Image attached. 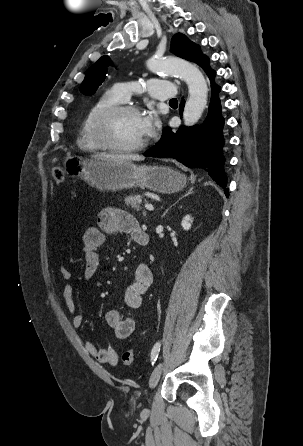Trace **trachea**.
<instances>
[{"mask_svg":"<svg viewBox=\"0 0 303 446\" xmlns=\"http://www.w3.org/2000/svg\"><path fill=\"white\" fill-rule=\"evenodd\" d=\"M177 102H178L177 99H176V98H173V99L170 100L169 103H177Z\"/></svg>","mask_w":303,"mask_h":446,"instance_id":"obj_1","label":"trachea"}]
</instances>
